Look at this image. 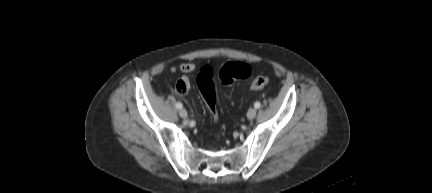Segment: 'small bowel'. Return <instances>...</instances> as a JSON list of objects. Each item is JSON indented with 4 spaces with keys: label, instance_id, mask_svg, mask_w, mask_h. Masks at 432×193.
Returning <instances> with one entry per match:
<instances>
[{
    "label": "small bowel",
    "instance_id": "small-bowel-1",
    "mask_svg": "<svg viewBox=\"0 0 432 193\" xmlns=\"http://www.w3.org/2000/svg\"><path fill=\"white\" fill-rule=\"evenodd\" d=\"M179 68L182 72L188 74L195 69V65L193 63L186 62V63H182ZM189 86H190L189 77L185 75L177 82L176 88L179 93L183 94L188 90Z\"/></svg>",
    "mask_w": 432,
    "mask_h": 193
}]
</instances>
